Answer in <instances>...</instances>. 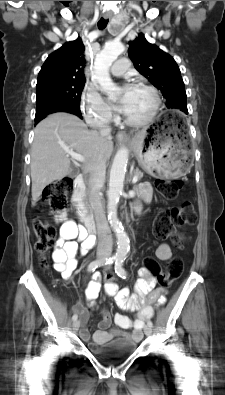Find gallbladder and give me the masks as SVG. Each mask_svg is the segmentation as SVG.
Wrapping results in <instances>:
<instances>
[{
	"mask_svg": "<svg viewBox=\"0 0 225 395\" xmlns=\"http://www.w3.org/2000/svg\"><path fill=\"white\" fill-rule=\"evenodd\" d=\"M70 176H76L77 175V170L76 169H71V171H70Z\"/></svg>",
	"mask_w": 225,
	"mask_h": 395,
	"instance_id": "obj_1",
	"label": "gallbladder"
}]
</instances>
